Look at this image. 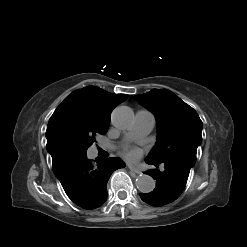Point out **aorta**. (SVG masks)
<instances>
[{
    "mask_svg": "<svg viewBox=\"0 0 247 247\" xmlns=\"http://www.w3.org/2000/svg\"><path fill=\"white\" fill-rule=\"evenodd\" d=\"M115 127L120 129L128 128L134 119L133 111L127 106L116 107L111 116ZM137 189L142 193L152 192L155 188V181L149 175H140L135 181Z\"/></svg>",
    "mask_w": 247,
    "mask_h": 247,
    "instance_id": "aorta-1",
    "label": "aorta"
}]
</instances>
